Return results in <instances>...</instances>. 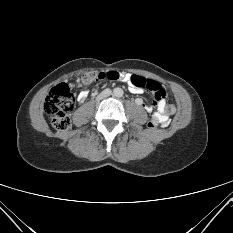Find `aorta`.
Here are the masks:
<instances>
[{"mask_svg": "<svg viewBox=\"0 0 233 233\" xmlns=\"http://www.w3.org/2000/svg\"><path fill=\"white\" fill-rule=\"evenodd\" d=\"M123 90L121 89V88H115L114 89V95L116 96V97H122L123 96Z\"/></svg>", "mask_w": 233, "mask_h": 233, "instance_id": "aorta-1", "label": "aorta"}]
</instances>
